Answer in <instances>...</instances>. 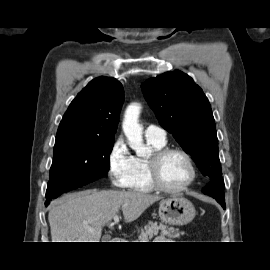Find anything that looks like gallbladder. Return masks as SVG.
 Segmentation results:
<instances>
[{
	"instance_id": "gallbladder-1",
	"label": "gallbladder",
	"mask_w": 270,
	"mask_h": 270,
	"mask_svg": "<svg viewBox=\"0 0 270 270\" xmlns=\"http://www.w3.org/2000/svg\"><path fill=\"white\" fill-rule=\"evenodd\" d=\"M103 239L107 240V239H109V237L108 236H105Z\"/></svg>"
}]
</instances>
